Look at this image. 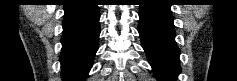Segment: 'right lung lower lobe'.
Wrapping results in <instances>:
<instances>
[{
	"label": "right lung lower lobe",
	"instance_id": "1",
	"mask_svg": "<svg viewBox=\"0 0 237 81\" xmlns=\"http://www.w3.org/2000/svg\"><path fill=\"white\" fill-rule=\"evenodd\" d=\"M64 11L60 56L62 79L83 81L98 49L99 9L90 2L71 1L64 5Z\"/></svg>",
	"mask_w": 237,
	"mask_h": 81
}]
</instances>
